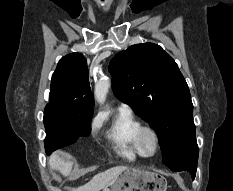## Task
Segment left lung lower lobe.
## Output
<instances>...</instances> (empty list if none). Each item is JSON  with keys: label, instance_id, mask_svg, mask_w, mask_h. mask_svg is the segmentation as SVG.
<instances>
[{"label": "left lung lower lobe", "instance_id": "1", "mask_svg": "<svg viewBox=\"0 0 233 191\" xmlns=\"http://www.w3.org/2000/svg\"><path fill=\"white\" fill-rule=\"evenodd\" d=\"M171 170L177 171V172L178 171H188L191 174L192 179L194 180L195 176H196V170H197V161L184 162Z\"/></svg>", "mask_w": 233, "mask_h": 191}]
</instances>
